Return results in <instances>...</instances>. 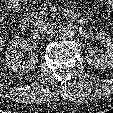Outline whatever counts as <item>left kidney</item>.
<instances>
[{
    "instance_id": "left-kidney-1",
    "label": "left kidney",
    "mask_w": 113,
    "mask_h": 113,
    "mask_svg": "<svg viewBox=\"0 0 113 113\" xmlns=\"http://www.w3.org/2000/svg\"><path fill=\"white\" fill-rule=\"evenodd\" d=\"M98 40L107 45L106 54H87L86 60L88 64L97 69L113 68V37L106 33H100Z\"/></svg>"
}]
</instances>
